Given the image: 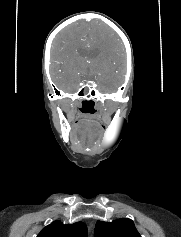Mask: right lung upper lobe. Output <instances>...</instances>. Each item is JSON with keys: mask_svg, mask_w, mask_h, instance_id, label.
I'll list each match as a JSON object with an SVG mask.
<instances>
[{"mask_svg": "<svg viewBox=\"0 0 181 237\" xmlns=\"http://www.w3.org/2000/svg\"><path fill=\"white\" fill-rule=\"evenodd\" d=\"M37 237H87V227L83 222L65 225L54 221L43 228Z\"/></svg>", "mask_w": 181, "mask_h": 237, "instance_id": "cb5924a9", "label": "right lung upper lobe"}]
</instances>
